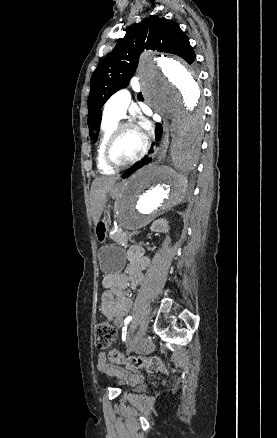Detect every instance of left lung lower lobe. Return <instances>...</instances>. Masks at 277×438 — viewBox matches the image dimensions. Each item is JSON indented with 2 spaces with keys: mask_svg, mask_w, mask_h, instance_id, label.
<instances>
[{
  "mask_svg": "<svg viewBox=\"0 0 277 438\" xmlns=\"http://www.w3.org/2000/svg\"><path fill=\"white\" fill-rule=\"evenodd\" d=\"M162 134V127L161 124H157L156 126V139H158ZM151 161V158H148L147 156H145L141 161L136 162L131 168H129L123 175V178H126L128 176H130L134 171H136L137 169L141 168L142 166H144L145 164L149 163Z\"/></svg>",
  "mask_w": 277,
  "mask_h": 438,
  "instance_id": "0a47b994",
  "label": "left lung lower lobe"
}]
</instances>
